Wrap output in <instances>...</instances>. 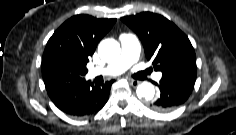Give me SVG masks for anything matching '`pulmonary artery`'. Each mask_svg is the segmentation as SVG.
<instances>
[{"instance_id": "1", "label": "pulmonary artery", "mask_w": 236, "mask_h": 135, "mask_svg": "<svg viewBox=\"0 0 236 135\" xmlns=\"http://www.w3.org/2000/svg\"><path fill=\"white\" fill-rule=\"evenodd\" d=\"M122 46V53L120 57L113 63L103 68H92L89 71L90 77L98 75H119L126 71L132 64H134L139 57V41L134 34H122L119 38ZM162 77L161 73L155 74L154 78L159 81Z\"/></svg>"}]
</instances>
